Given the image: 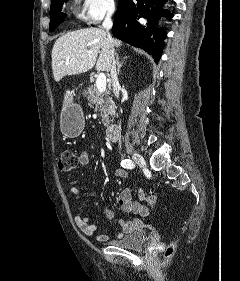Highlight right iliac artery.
I'll return each instance as SVG.
<instances>
[{
  "label": "right iliac artery",
  "instance_id": "82829eb1",
  "mask_svg": "<svg viewBox=\"0 0 240 281\" xmlns=\"http://www.w3.org/2000/svg\"><path fill=\"white\" fill-rule=\"evenodd\" d=\"M121 166L127 169H133L135 164L130 159H125L121 161Z\"/></svg>",
  "mask_w": 240,
  "mask_h": 281
}]
</instances>
